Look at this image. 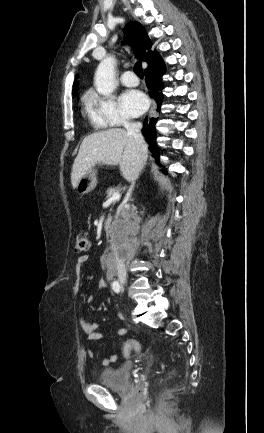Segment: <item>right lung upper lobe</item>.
I'll return each instance as SVG.
<instances>
[{"label": "right lung upper lobe", "mask_w": 264, "mask_h": 433, "mask_svg": "<svg viewBox=\"0 0 264 433\" xmlns=\"http://www.w3.org/2000/svg\"><path fill=\"white\" fill-rule=\"evenodd\" d=\"M126 32L129 39L132 41L135 54L142 60L149 63V66H154L162 61L157 51H152V42L149 39L145 28L136 21H132L126 25ZM78 90V82L74 81L73 94L76 95Z\"/></svg>", "instance_id": "right-lung-upper-lobe-1"}]
</instances>
